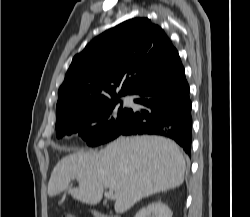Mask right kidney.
I'll list each match as a JSON object with an SVG mask.
<instances>
[{
	"label": "right kidney",
	"instance_id": "right-kidney-1",
	"mask_svg": "<svg viewBox=\"0 0 250 217\" xmlns=\"http://www.w3.org/2000/svg\"><path fill=\"white\" fill-rule=\"evenodd\" d=\"M135 217H172V212L166 204L153 202L139 210Z\"/></svg>",
	"mask_w": 250,
	"mask_h": 217
}]
</instances>
